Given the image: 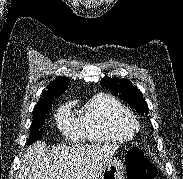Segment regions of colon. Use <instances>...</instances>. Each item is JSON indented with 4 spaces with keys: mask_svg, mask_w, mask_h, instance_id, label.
I'll return each instance as SVG.
<instances>
[{
    "mask_svg": "<svg viewBox=\"0 0 183 179\" xmlns=\"http://www.w3.org/2000/svg\"><path fill=\"white\" fill-rule=\"evenodd\" d=\"M127 179H154L157 171L139 148H132L126 156Z\"/></svg>",
    "mask_w": 183,
    "mask_h": 179,
    "instance_id": "colon-1",
    "label": "colon"
}]
</instances>
